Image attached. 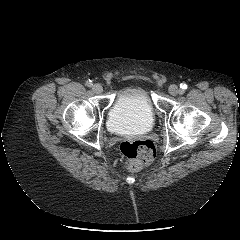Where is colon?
Masks as SVG:
<instances>
[{
	"label": "colon",
	"mask_w": 240,
	"mask_h": 240,
	"mask_svg": "<svg viewBox=\"0 0 240 240\" xmlns=\"http://www.w3.org/2000/svg\"><path fill=\"white\" fill-rule=\"evenodd\" d=\"M119 150L130 171H138L149 165L156 154L155 146L149 140H125Z\"/></svg>",
	"instance_id": "obj_1"
}]
</instances>
